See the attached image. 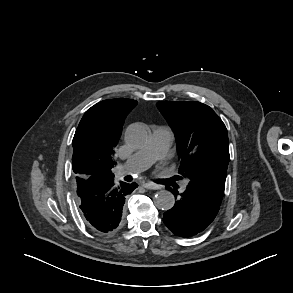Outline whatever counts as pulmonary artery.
Here are the masks:
<instances>
[{"label": "pulmonary artery", "mask_w": 293, "mask_h": 293, "mask_svg": "<svg viewBox=\"0 0 293 293\" xmlns=\"http://www.w3.org/2000/svg\"><path fill=\"white\" fill-rule=\"evenodd\" d=\"M173 140L174 135L169 127L159 126L155 128L147 146L133 154L118 169V177L144 171L154 162L164 159Z\"/></svg>", "instance_id": "pulmonary-artery-1"}]
</instances>
